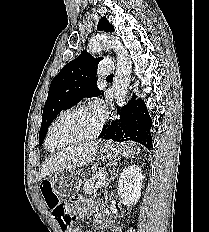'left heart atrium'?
Instances as JSON below:
<instances>
[{"mask_svg": "<svg viewBox=\"0 0 209 232\" xmlns=\"http://www.w3.org/2000/svg\"><path fill=\"white\" fill-rule=\"evenodd\" d=\"M94 111L98 116H103L105 113V105L102 101H96L94 103Z\"/></svg>", "mask_w": 209, "mask_h": 232, "instance_id": "left-heart-atrium-1", "label": "left heart atrium"}]
</instances>
